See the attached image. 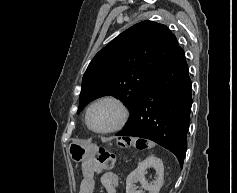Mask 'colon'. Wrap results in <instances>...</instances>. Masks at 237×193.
Wrapping results in <instances>:
<instances>
[{
	"label": "colon",
	"mask_w": 237,
	"mask_h": 193,
	"mask_svg": "<svg viewBox=\"0 0 237 193\" xmlns=\"http://www.w3.org/2000/svg\"><path fill=\"white\" fill-rule=\"evenodd\" d=\"M122 147L144 148L142 140L133 138H123L119 140ZM96 167L100 170H112L115 166V155L109 150L100 149L95 158Z\"/></svg>",
	"instance_id": "5ec220e1"
}]
</instances>
